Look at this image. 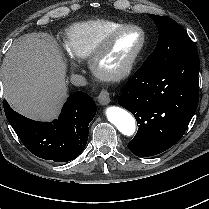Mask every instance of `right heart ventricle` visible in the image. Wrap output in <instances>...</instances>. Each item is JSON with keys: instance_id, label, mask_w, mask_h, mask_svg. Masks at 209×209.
<instances>
[{"instance_id": "obj_1", "label": "right heart ventricle", "mask_w": 209, "mask_h": 209, "mask_svg": "<svg viewBox=\"0 0 209 209\" xmlns=\"http://www.w3.org/2000/svg\"><path fill=\"white\" fill-rule=\"evenodd\" d=\"M126 24L109 19L77 22L64 31L65 48L75 59L89 58L112 29Z\"/></svg>"}]
</instances>
